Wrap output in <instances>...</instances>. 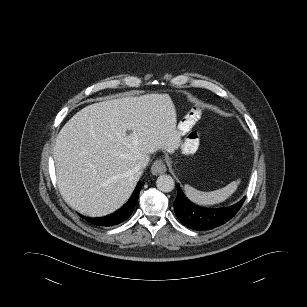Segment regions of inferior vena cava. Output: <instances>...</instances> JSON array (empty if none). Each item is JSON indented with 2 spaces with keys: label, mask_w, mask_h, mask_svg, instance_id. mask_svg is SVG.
<instances>
[{
  "label": "inferior vena cava",
  "mask_w": 307,
  "mask_h": 307,
  "mask_svg": "<svg viewBox=\"0 0 307 307\" xmlns=\"http://www.w3.org/2000/svg\"><path fill=\"white\" fill-rule=\"evenodd\" d=\"M148 163H149V158H143L137 163L136 169L138 171H142V169H144L148 165Z\"/></svg>",
  "instance_id": "obj_1"
}]
</instances>
